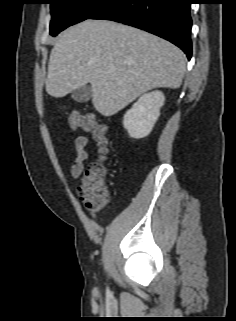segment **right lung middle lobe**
<instances>
[{
	"instance_id": "obj_1",
	"label": "right lung middle lobe",
	"mask_w": 236,
	"mask_h": 321,
	"mask_svg": "<svg viewBox=\"0 0 236 321\" xmlns=\"http://www.w3.org/2000/svg\"><path fill=\"white\" fill-rule=\"evenodd\" d=\"M110 0H49L51 4L50 35L56 36L65 28L88 19Z\"/></svg>"
}]
</instances>
